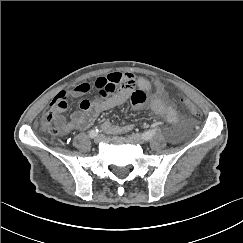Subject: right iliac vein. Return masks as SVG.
Wrapping results in <instances>:
<instances>
[{
  "label": "right iliac vein",
  "mask_w": 243,
  "mask_h": 243,
  "mask_svg": "<svg viewBox=\"0 0 243 243\" xmlns=\"http://www.w3.org/2000/svg\"><path fill=\"white\" fill-rule=\"evenodd\" d=\"M103 140V135L99 134L94 138L95 143H100Z\"/></svg>",
  "instance_id": "obj_1"
}]
</instances>
